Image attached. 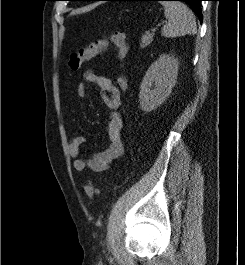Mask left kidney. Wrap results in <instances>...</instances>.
Returning a JSON list of instances; mask_svg holds the SVG:
<instances>
[{
    "label": "left kidney",
    "mask_w": 245,
    "mask_h": 265,
    "mask_svg": "<svg viewBox=\"0 0 245 265\" xmlns=\"http://www.w3.org/2000/svg\"><path fill=\"white\" fill-rule=\"evenodd\" d=\"M178 59L174 55H161L151 64L140 85V107L151 112L170 95L178 75Z\"/></svg>",
    "instance_id": "1"
}]
</instances>
